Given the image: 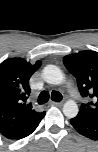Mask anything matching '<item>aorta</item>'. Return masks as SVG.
Here are the masks:
<instances>
[{
  "label": "aorta",
  "instance_id": "762f6f07",
  "mask_svg": "<svg viewBox=\"0 0 98 152\" xmlns=\"http://www.w3.org/2000/svg\"><path fill=\"white\" fill-rule=\"evenodd\" d=\"M43 79L53 85L62 84L64 75L59 67L55 65H47L42 71ZM78 105L74 100H68L63 106V113L68 118H74L78 114Z\"/></svg>",
  "mask_w": 98,
  "mask_h": 152
}]
</instances>
